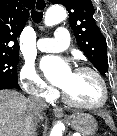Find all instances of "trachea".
<instances>
[{"label": "trachea", "mask_w": 117, "mask_h": 136, "mask_svg": "<svg viewBox=\"0 0 117 136\" xmlns=\"http://www.w3.org/2000/svg\"><path fill=\"white\" fill-rule=\"evenodd\" d=\"M36 8L39 10L41 9L39 4L37 3L36 5ZM31 17H32V20L35 22V23H40L43 19V12L42 11H36V10H32L31 11Z\"/></svg>", "instance_id": "obj_1"}]
</instances>
